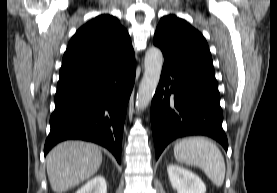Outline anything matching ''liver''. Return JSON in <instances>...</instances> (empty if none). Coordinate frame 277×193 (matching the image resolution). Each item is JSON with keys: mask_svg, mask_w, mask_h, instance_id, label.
Instances as JSON below:
<instances>
[{"mask_svg": "<svg viewBox=\"0 0 277 193\" xmlns=\"http://www.w3.org/2000/svg\"><path fill=\"white\" fill-rule=\"evenodd\" d=\"M102 153L95 144L83 141H65L47 155L46 167L51 188L65 192L88 180L99 169Z\"/></svg>", "mask_w": 277, "mask_h": 193, "instance_id": "obj_1", "label": "liver"}]
</instances>
